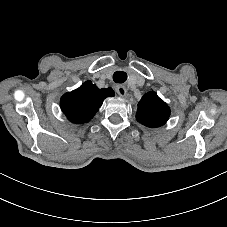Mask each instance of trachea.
Listing matches in <instances>:
<instances>
[{"mask_svg": "<svg viewBox=\"0 0 227 227\" xmlns=\"http://www.w3.org/2000/svg\"><path fill=\"white\" fill-rule=\"evenodd\" d=\"M126 79H127V74L124 71H116L113 74V80L115 83L122 84L126 81Z\"/></svg>", "mask_w": 227, "mask_h": 227, "instance_id": "3493384b", "label": "trachea"}]
</instances>
